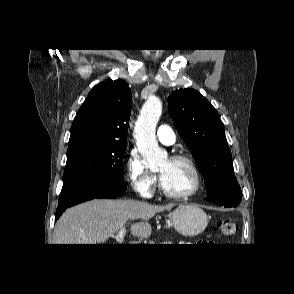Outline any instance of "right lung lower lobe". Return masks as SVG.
<instances>
[{"label": "right lung lower lobe", "mask_w": 294, "mask_h": 294, "mask_svg": "<svg viewBox=\"0 0 294 294\" xmlns=\"http://www.w3.org/2000/svg\"><path fill=\"white\" fill-rule=\"evenodd\" d=\"M126 191L125 184L88 181L63 189L59 196L55 219L69 207L95 198H116Z\"/></svg>", "instance_id": "1"}]
</instances>
